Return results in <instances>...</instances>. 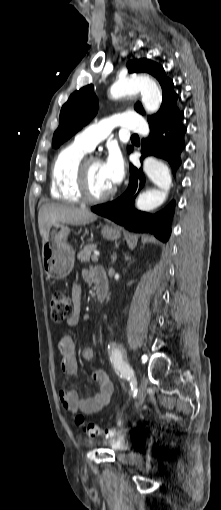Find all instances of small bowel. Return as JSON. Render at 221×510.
Listing matches in <instances>:
<instances>
[{"instance_id": "obj_1", "label": "small bowel", "mask_w": 221, "mask_h": 510, "mask_svg": "<svg viewBox=\"0 0 221 510\" xmlns=\"http://www.w3.org/2000/svg\"><path fill=\"white\" fill-rule=\"evenodd\" d=\"M93 271H88L85 277L88 281H93ZM81 287L74 284L71 291L72 302L74 306L73 314L67 319L68 326L77 325L80 318L81 309ZM58 349L61 354L60 366L66 375H77L78 362L75 354V342L69 335L62 336L58 341ZM83 357L86 361L91 362L94 359V349L86 347L83 350ZM93 380L99 385L98 390L87 398H80L76 391L68 390L59 393L60 401L63 407L71 413L81 411L84 414L91 415L109 404L114 394V384L109 375L101 369L94 370L92 373Z\"/></svg>"}]
</instances>
